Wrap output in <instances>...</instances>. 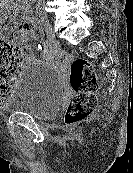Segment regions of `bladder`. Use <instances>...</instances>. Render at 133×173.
Returning <instances> with one entry per match:
<instances>
[{
  "label": "bladder",
  "instance_id": "1",
  "mask_svg": "<svg viewBox=\"0 0 133 173\" xmlns=\"http://www.w3.org/2000/svg\"><path fill=\"white\" fill-rule=\"evenodd\" d=\"M64 94L65 85L59 73L45 63L35 62L22 69L2 109L50 119L59 110Z\"/></svg>",
  "mask_w": 133,
  "mask_h": 173
}]
</instances>
